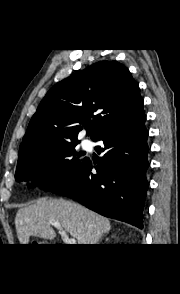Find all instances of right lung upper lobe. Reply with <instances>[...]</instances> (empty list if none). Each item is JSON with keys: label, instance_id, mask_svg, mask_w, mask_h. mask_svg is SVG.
Masks as SVG:
<instances>
[{"label": "right lung upper lobe", "instance_id": "right-lung-upper-lobe-1", "mask_svg": "<svg viewBox=\"0 0 180 294\" xmlns=\"http://www.w3.org/2000/svg\"><path fill=\"white\" fill-rule=\"evenodd\" d=\"M140 100L138 83L124 65L116 61L93 64L48 91L28 125L18 162L44 148L78 142V133L91 119L87 134L93 140Z\"/></svg>", "mask_w": 180, "mask_h": 294}]
</instances>
